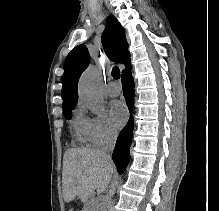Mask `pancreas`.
I'll list each match as a JSON object with an SVG mask.
<instances>
[{
    "label": "pancreas",
    "mask_w": 219,
    "mask_h": 211,
    "mask_svg": "<svg viewBox=\"0 0 219 211\" xmlns=\"http://www.w3.org/2000/svg\"><path fill=\"white\" fill-rule=\"evenodd\" d=\"M96 200H86L85 204L87 205L86 209L83 211H98L99 205H96Z\"/></svg>",
    "instance_id": "cf45deb5"
}]
</instances>
